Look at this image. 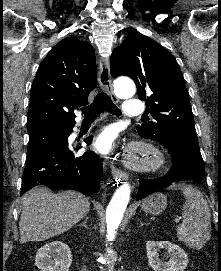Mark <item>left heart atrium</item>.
Returning a JSON list of instances; mask_svg holds the SVG:
<instances>
[{"mask_svg": "<svg viewBox=\"0 0 221 271\" xmlns=\"http://www.w3.org/2000/svg\"><path fill=\"white\" fill-rule=\"evenodd\" d=\"M118 132L113 129H105L94 140L95 148L101 153H109L118 147L116 142Z\"/></svg>", "mask_w": 221, "mask_h": 271, "instance_id": "obj_1", "label": "left heart atrium"}]
</instances>
